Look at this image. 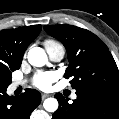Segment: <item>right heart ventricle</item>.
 <instances>
[{
  "label": "right heart ventricle",
  "mask_w": 119,
  "mask_h": 119,
  "mask_svg": "<svg viewBox=\"0 0 119 119\" xmlns=\"http://www.w3.org/2000/svg\"><path fill=\"white\" fill-rule=\"evenodd\" d=\"M45 47H49V46H54V45H59L57 42H55L54 40L48 39L44 42Z\"/></svg>",
  "instance_id": "1"
}]
</instances>
